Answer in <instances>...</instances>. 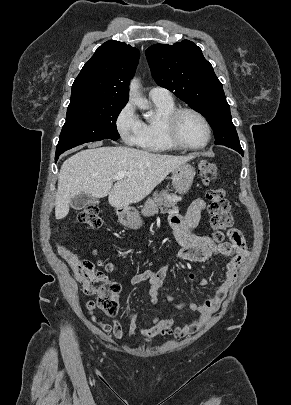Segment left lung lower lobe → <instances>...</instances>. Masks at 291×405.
Listing matches in <instances>:
<instances>
[{"label":"left lung lower lobe","instance_id":"1","mask_svg":"<svg viewBox=\"0 0 291 405\" xmlns=\"http://www.w3.org/2000/svg\"><path fill=\"white\" fill-rule=\"evenodd\" d=\"M234 150L238 151L241 155H243V150H242V148H235Z\"/></svg>","mask_w":291,"mask_h":405}]
</instances>
